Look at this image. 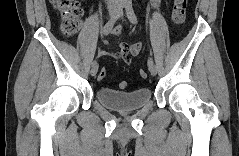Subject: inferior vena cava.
Instances as JSON below:
<instances>
[{
	"label": "inferior vena cava",
	"instance_id": "1",
	"mask_svg": "<svg viewBox=\"0 0 239 156\" xmlns=\"http://www.w3.org/2000/svg\"><path fill=\"white\" fill-rule=\"evenodd\" d=\"M109 2H112L114 4H117L118 0H108Z\"/></svg>",
	"mask_w": 239,
	"mask_h": 156
}]
</instances>
